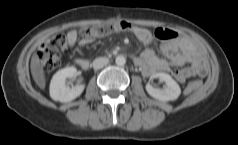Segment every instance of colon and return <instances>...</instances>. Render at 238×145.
<instances>
[{
	"label": "colon",
	"instance_id": "colon-1",
	"mask_svg": "<svg viewBox=\"0 0 238 145\" xmlns=\"http://www.w3.org/2000/svg\"><path fill=\"white\" fill-rule=\"evenodd\" d=\"M133 27L134 26L125 21L106 23L83 28L80 32V37L83 42H90L113 32L132 31ZM67 48V39L62 34H56L47 42L43 43L37 53V59L42 71L48 73L55 70L59 66L61 57L65 54ZM200 87L201 82L199 80L192 81L187 85L186 92L192 93Z\"/></svg>",
	"mask_w": 238,
	"mask_h": 145
}]
</instances>
